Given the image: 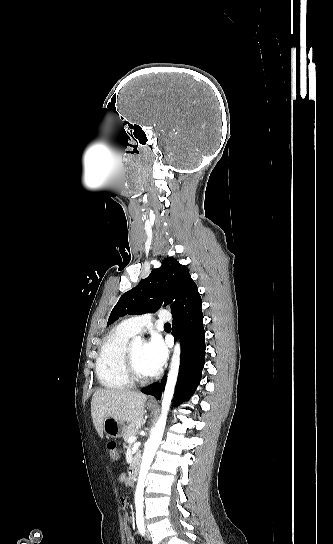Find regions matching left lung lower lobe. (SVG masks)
Returning <instances> with one entry per match:
<instances>
[{
  "mask_svg": "<svg viewBox=\"0 0 333 544\" xmlns=\"http://www.w3.org/2000/svg\"><path fill=\"white\" fill-rule=\"evenodd\" d=\"M202 300L175 312L172 322V335L181 340V356L178 380L175 388L174 405L187 401L195 392L201 380L205 364V330L203 327ZM166 378L142 390L147 395L161 398Z\"/></svg>",
  "mask_w": 333,
  "mask_h": 544,
  "instance_id": "left-lung-lower-lobe-1",
  "label": "left lung lower lobe"
}]
</instances>
